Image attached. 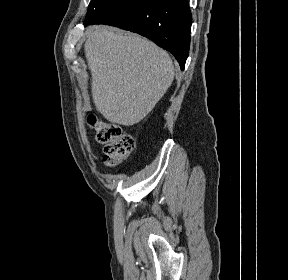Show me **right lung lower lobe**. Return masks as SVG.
<instances>
[{
    "instance_id": "98d812e1",
    "label": "right lung lower lobe",
    "mask_w": 288,
    "mask_h": 280,
    "mask_svg": "<svg viewBox=\"0 0 288 280\" xmlns=\"http://www.w3.org/2000/svg\"><path fill=\"white\" fill-rule=\"evenodd\" d=\"M107 24L136 32L171 52L184 69L192 16L188 0H115L84 25Z\"/></svg>"
}]
</instances>
